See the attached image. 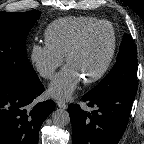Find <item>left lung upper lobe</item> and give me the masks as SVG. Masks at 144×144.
<instances>
[{"label":"left lung upper lobe","mask_w":144,"mask_h":144,"mask_svg":"<svg viewBox=\"0 0 144 144\" xmlns=\"http://www.w3.org/2000/svg\"><path fill=\"white\" fill-rule=\"evenodd\" d=\"M134 87L137 88V50L132 37L124 34L116 64L91 91H133Z\"/></svg>","instance_id":"left-lung-upper-lobe-1"}]
</instances>
